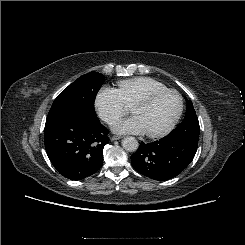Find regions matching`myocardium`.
I'll return each instance as SVG.
<instances>
[{
    "label": "myocardium",
    "mask_w": 245,
    "mask_h": 245,
    "mask_svg": "<svg viewBox=\"0 0 245 245\" xmlns=\"http://www.w3.org/2000/svg\"><path fill=\"white\" fill-rule=\"evenodd\" d=\"M167 93H173L175 94L178 99H179V107L177 110L176 115L174 116V118L172 119V121L162 130L157 131V132H145V135L147 137L150 138H160L163 136H166L167 134H169L177 125V123L179 122L182 114H183V110H184V99L182 97V95L180 94L179 91L175 90V89H164V90H159V91H155L146 95H143L141 97H139L138 99H136L132 104H131V111L132 108L136 105H145V104H149L152 101H154L156 98L167 94Z\"/></svg>",
    "instance_id": "f54148a6"
}]
</instances>
